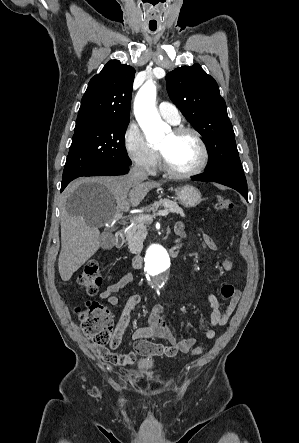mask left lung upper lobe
Wrapping results in <instances>:
<instances>
[{
    "mask_svg": "<svg viewBox=\"0 0 299 443\" xmlns=\"http://www.w3.org/2000/svg\"><path fill=\"white\" fill-rule=\"evenodd\" d=\"M166 82L171 100L207 144L209 160L205 172H243L226 104L214 78L194 64L169 72Z\"/></svg>",
    "mask_w": 299,
    "mask_h": 443,
    "instance_id": "5c2ea615",
    "label": "left lung upper lobe"
}]
</instances>
